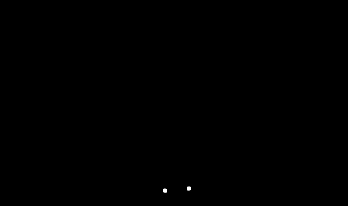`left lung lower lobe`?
<instances>
[{
    "instance_id": "left-lung-lower-lobe-1",
    "label": "left lung lower lobe",
    "mask_w": 348,
    "mask_h": 206,
    "mask_svg": "<svg viewBox=\"0 0 348 206\" xmlns=\"http://www.w3.org/2000/svg\"><path fill=\"white\" fill-rule=\"evenodd\" d=\"M192 131L194 132L196 136V142H198V134L196 130L192 128ZM198 152H199V156H200L203 167L208 172L215 174L217 176L236 178L245 174L257 164V163H254V161H251V156H250V157L240 158L237 161H233V163L229 164V167H226V166L219 167L217 163L213 162L211 159L206 158V154H204L203 150L198 149ZM259 155H260V151L258 153V156Z\"/></svg>"
}]
</instances>
